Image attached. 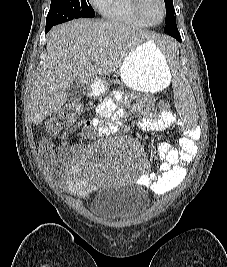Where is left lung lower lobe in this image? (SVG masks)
Instances as JSON below:
<instances>
[{"label": "left lung lower lobe", "instance_id": "obj_1", "mask_svg": "<svg viewBox=\"0 0 227 267\" xmlns=\"http://www.w3.org/2000/svg\"><path fill=\"white\" fill-rule=\"evenodd\" d=\"M164 32L181 42V36L176 25V20L172 23L166 24Z\"/></svg>", "mask_w": 227, "mask_h": 267}]
</instances>
